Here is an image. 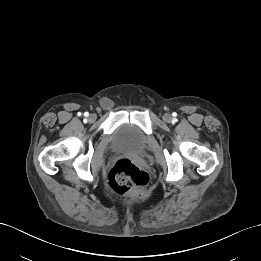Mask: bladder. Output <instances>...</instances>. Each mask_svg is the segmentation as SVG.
I'll return each mask as SVG.
<instances>
[{"instance_id":"31cf9c89","label":"bladder","mask_w":261,"mask_h":261,"mask_svg":"<svg viewBox=\"0 0 261 261\" xmlns=\"http://www.w3.org/2000/svg\"><path fill=\"white\" fill-rule=\"evenodd\" d=\"M148 144L146 134L136 125L122 123L117 126L111 137L110 147L115 151L141 153Z\"/></svg>"}]
</instances>
